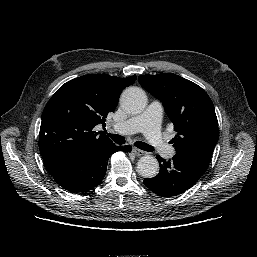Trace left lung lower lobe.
Segmentation results:
<instances>
[{
    "label": "left lung lower lobe",
    "instance_id": "obj_1",
    "mask_svg": "<svg viewBox=\"0 0 257 257\" xmlns=\"http://www.w3.org/2000/svg\"><path fill=\"white\" fill-rule=\"evenodd\" d=\"M160 171L144 184L161 197H173L191 188L206 171V167L187 156L175 154L169 161L157 156Z\"/></svg>",
    "mask_w": 257,
    "mask_h": 257
}]
</instances>
